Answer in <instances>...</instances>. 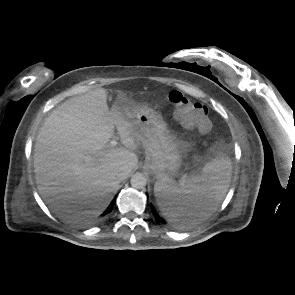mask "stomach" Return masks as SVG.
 Segmentation results:
<instances>
[{
	"label": "stomach",
	"mask_w": 295,
	"mask_h": 295,
	"mask_svg": "<svg viewBox=\"0 0 295 295\" xmlns=\"http://www.w3.org/2000/svg\"><path fill=\"white\" fill-rule=\"evenodd\" d=\"M119 109L123 118L132 126L134 134L146 149L143 168L157 179L174 177L182 162V143L169 131L161 114L146 105L125 99ZM163 212V207H159Z\"/></svg>",
	"instance_id": "0dacf381"
}]
</instances>
